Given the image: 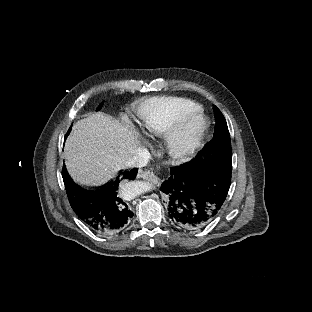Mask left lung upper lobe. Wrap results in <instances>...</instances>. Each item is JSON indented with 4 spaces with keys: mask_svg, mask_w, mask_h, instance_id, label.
Returning <instances> with one entry per match:
<instances>
[{
    "mask_svg": "<svg viewBox=\"0 0 312 312\" xmlns=\"http://www.w3.org/2000/svg\"><path fill=\"white\" fill-rule=\"evenodd\" d=\"M215 119H216V126L214 131L213 139L207 143L205 149L207 157H213L220 153H232L231 149V142H230V134L228 131L226 120L221 113V111L216 107L213 106ZM200 157V155L198 156Z\"/></svg>",
    "mask_w": 312,
    "mask_h": 312,
    "instance_id": "obj_1",
    "label": "left lung upper lobe"
}]
</instances>
